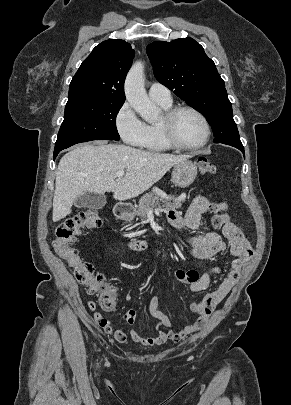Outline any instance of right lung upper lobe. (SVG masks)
<instances>
[{
	"label": "right lung upper lobe",
	"instance_id": "1",
	"mask_svg": "<svg viewBox=\"0 0 291 405\" xmlns=\"http://www.w3.org/2000/svg\"><path fill=\"white\" fill-rule=\"evenodd\" d=\"M134 50L124 40L97 45L82 62L69 88L67 104L83 101H125L124 81Z\"/></svg>",
	"mask_w": 291,
	"mask_h": 405
}]
</instances>
